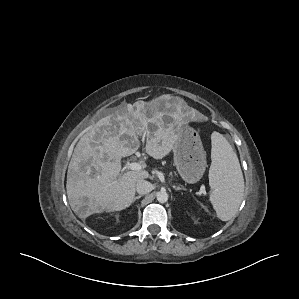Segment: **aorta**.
<instances>
[{"label": "aorta", "mask_w": 299, "mask_h": 299, "mask_svg": "<svg viewBox=\"0 0 299 299\" xmlns=\"http://www.w3.org/2000/svg\"><path fill=\"white\" fill-rule=\"evenodd\" d=\"M159 203H166L168 201V194L166 191H160L156 195Z\"/></svg>", "instance_id": "1"}]
</instances>
